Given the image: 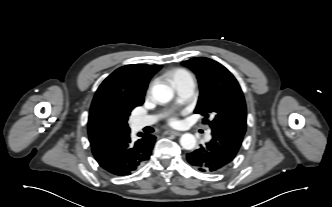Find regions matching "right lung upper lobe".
Wrapping results in <instances>:
<instances>
[{
  "instance_id": "right-lung-upper-lobe-1",
  "label": "right lung upper lobe",
  "mask_w": 332,
  "mask_h": 207,
  "mask_svg": "<svg viewBox=\"0 0 332 207\" xmlns=\"http://www.w3.org/2000/svg\"><path fill=\"white\" fill-rule=\"evenodd\" d=\"M160 69L159 65H126L115 70L102 82L89 113L91 146L126 132L115 128L122 118V108L125 105L143 104L148 82Z\"/></svg>"
}]
</instances>
